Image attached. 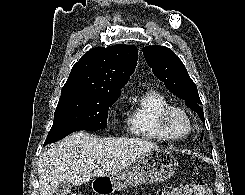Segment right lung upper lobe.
I'll list each match as a JSON object with an SVG mask.
<instances>
[{"instance_id": "right-lung-upper-lobe-1", "label": "right lung upper lobe", "mask_w": 245, "mask_h": 195, "mask_svg": "<svg viewBox=\"0 0 245 195\" xmlns=\"http://www.w3.org/2000/svg\"><path fill=\"white\" fill-rule=\"evenodd\" d=\"M137 48L117 44L89 50L73 66L61 94L94 92L119 96L137 64Z\"/></svg>"}]
</instances>
